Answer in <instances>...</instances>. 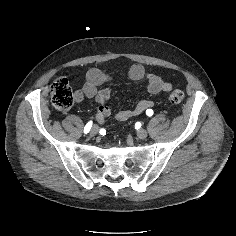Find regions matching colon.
I'll list each match as a JSON object with an SVG mask.
<instances>
[{"label": "colon", "mask_w": 236, "mask_h": 236, "mask_svg": "<svg viewBox=\"0 0 236 236\" xmlns=\"http://www.w3.org/2000/svg\"><path fill=\"white\" fill-rule=\"evenodd\" d=\"M50 94L53 105L58 110H68L74 102V94L68 80L64 77H57L50 85ZM184 93L180 89H174L169 94V101L173 104L182 102Z\"/></svg>", "instance_id": "5ec220e1"}]
</instances>
